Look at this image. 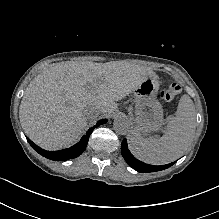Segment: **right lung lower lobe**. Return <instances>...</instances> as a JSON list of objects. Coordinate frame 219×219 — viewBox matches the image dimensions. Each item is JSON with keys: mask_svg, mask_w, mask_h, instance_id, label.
<instances>
[{"mask_svg": "<svg viewBox=\"0 0 219 219\" xmlns=\"http://www.w3.org/2000/svg\"><path fill=\"white\" fill-rule=\"evenodd\" d=\"M106 122H107L106 119H102L98 121L94 127L90 128L87 131V134L82 137L79 143L75 144L74 146L68 149H64L60 151H46L35 145L29 138H27V140L29 144L33 147V149H35L42 156L55 161H65L68 159H73L78 157L85 150L89 140V136L92 133L93 129L101 124H105Z\"/></svg>", "mask_w": 219, "mask_h": 219, "instance_id": "98d812e1", "label": "right lung lower lobe"}]
</instances>
